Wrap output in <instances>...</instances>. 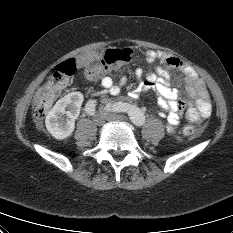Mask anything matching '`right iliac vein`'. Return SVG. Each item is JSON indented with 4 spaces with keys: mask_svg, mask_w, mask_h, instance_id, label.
I'll return each instance as SVG.
<instances>
[{
    "mask_svg": "<svg viewBox=\"0 0 233 233\" xmlns=\"http://www.w3.org/2000/svg\"><path fill=\"white\" fill-rule=\"evenodd\" d=\"M93 121L97 126H102L106 121V116L100 112L94 116Z\"/></svg>",
    "mask_w": 233,
    "mask_h": 233,
    "instance_id": "obj_1",
    "label": "right iliac vein"
}]
</instances>
